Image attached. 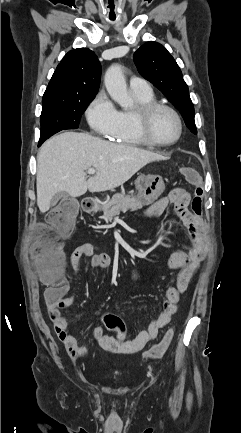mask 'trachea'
Returning a JSON list of instances; mask_svg holds the SVG:
<instances>
[{
  "mask_svg": "<svg viewBox=\"0 0 241 433\" xmlns=\"http://www.w3.org/2000/svg\"><path fill=\"white\" fill-rule=\"evenodd\" d=\"M109 9H110V11L108 12V18H109V21H110L112 24H115V23L118 21V18H117V12L115 11V9H116V4H115V3H110V4H109Z\"/></svg>",
  "mask_w": 241,
  "mask_h": 433,
  "instance_id": "trachea-1",
  "label": "trachea"
}]
</instances>
